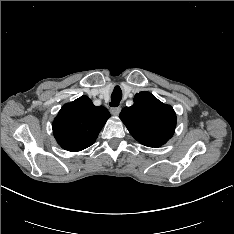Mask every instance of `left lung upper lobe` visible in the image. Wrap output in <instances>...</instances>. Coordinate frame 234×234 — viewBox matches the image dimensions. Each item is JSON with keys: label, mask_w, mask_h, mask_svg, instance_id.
<instances>
[{"label": "left lung upper lobe", "mask_w": 234, "mask_h": 234, "mask_svg": "<svg viewBox=\"0 0 234 234\" xmlns=\"http://www.w3.org/2000/svg\"><path fill=\"white\" fill-rule=\"evenodd\" d=\"M132 136L148 147L165 144L174 134L176 114L151 93L140 92L134 97V104L125 107L120 115Z\"/></svg>", "instance_id": "5c2ea615"}]
</instances>
